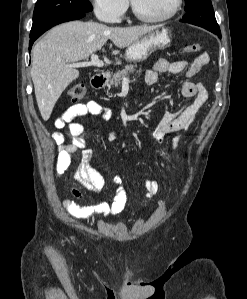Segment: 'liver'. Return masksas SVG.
Returning a JSON list of instances; mask_svg holds the SVG:
<instances>
[{
	"label": "liver",
	"mask_w": 247,
	"mask_h": 299,
	"mask_svg": "<svg viewBox=\"0 0 247 299\" xmlns=\"http://www.w3.org/2000/svg\"><path fill=\"white\" fill-rule=\"evenodd\" d=\"M157 27H109L93 21H70L50 29L33 49L31 68L43 120H49L63 91L79 77V71L68 64L87 59L100 50L107 40L120 49L128 47ZM118 53L119 50L112 52L113 55Z\"/></svg>",
	"instance_id": "liver-1"
}]
</instances>
